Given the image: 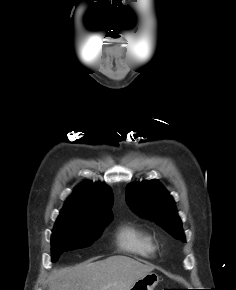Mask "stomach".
Masks as SVG:
<instances>
[{"label": "stomach", "mask_w": 236, "mask_h": 290, "mask_svg": "<svg viewBox=\"0 0 236 290\" xmlns=\"http://www.w3.org/2000/svg\"><path fill=\"white\" fill-rule=\"evenodd\" d=\"M158 282L159 276L154 272H150L135 281L129 290H154Z\"/></svg>", "instance_id": "stomach-1"}]
</instances>
